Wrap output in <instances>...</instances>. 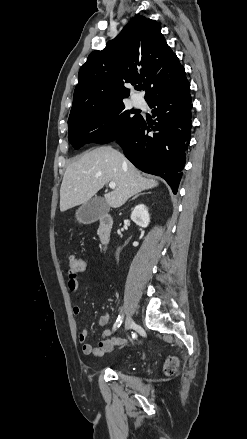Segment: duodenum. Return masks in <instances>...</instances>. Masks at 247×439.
Segmentation results:
<instances>
[{
  "mask_svg": "<svg viewBox=\"0 0 247 439\" xmlns=\"http://www.w3.org/2000/svg\"><path fill=\"white\" fill-rule=\"evenodd\" d=\"M113 219L109 214L99 218L97 226V237L101 245L106 248L111 240Z\"/></svg>",
  "mask_w": 247,
  "mask_h": 439,
  "instance_id": "410a0bca",
  "label": "duodenum"
}]
</instances>
